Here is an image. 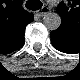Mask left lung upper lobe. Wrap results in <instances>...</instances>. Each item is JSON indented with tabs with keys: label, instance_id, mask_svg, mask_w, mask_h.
Segmentation results:
<instances>
[{
	"label": "left lung upper lobe",
	"instance_id": "1",
	"mask_svg": "<svg viewBox=\"0 0 80 80\" xmlns=\"http://www.w3.org/2000/svg\"><path fill=\"white\" fill-rule=\"evenodd\" d=\"M63 24L60 26V28L57 30V36L61 37L65 35V25L64 28H62Z\"/></svg>",
	"mask_w": 80,
	"mask_h": 80
}]
</instances>
